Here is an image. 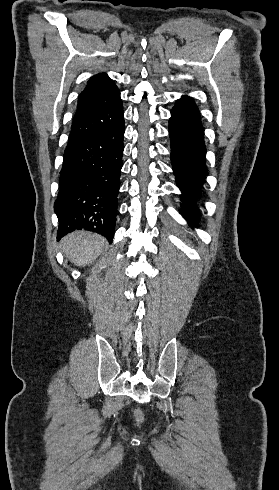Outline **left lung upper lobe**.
<instances>
[{
  "label": "left lung upper lobe",
  "mask_w": 279,
  "mask_h": 490,
  "mask_svg": "<svg viewBox=\"0 0 279 490\" xmlns=\"http://www.w3.org/2000/svg\"><path fill=\"white\" fill-rule=\"evenodd\" d=\"M183 98H185V99H187V100H190V101H193V99H192V98L187 97V96H184Z\"/></svg>",
  "instance_id": "obj_1"
}]
</instances>
